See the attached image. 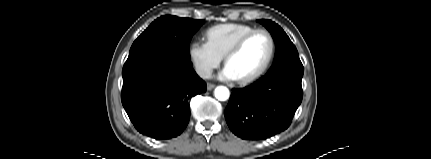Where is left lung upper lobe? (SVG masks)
Wrapping results in <instances>:
<instances>
[{
    "mask_svg": "<svg viewBox=\"0 0 431 159\" xmlns=\"http://www.w3.org/2000/svg\"><path fill=\"white\" fill-rule=\"evenodd\" d=\"M258 22L268 29L276 44L275 59L270 71L282 67L303 68L296 47L283 29L271 20H258Z\"/></svg>",
    "mask_w": 431,
    "mask_h": 159,
    "instance_id": "left-lung-upper-lobe-1",
    "label": "left lung upper lobe"
}]
</instances>
